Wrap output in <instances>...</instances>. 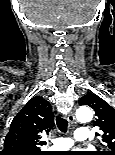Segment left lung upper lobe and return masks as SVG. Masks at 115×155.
I'll list each match as a JSON object with an SVG mask.
<instances>
[{
	"label": "left lung upper lobe",
	"instance_id": "left-lung-upper-lobe-1",
	"mask_svg": "<svg viewBox=\"0 0 115 155\" xmlns=\"http://www.w3.org/2000/svg\"><path fill=\"white\" fill-rule=\"evenodd\" d=\"M80 105H88L95 111L94 125L102 131L103 146L106 151L94 155H115V109L96 94L88 93L79 100Z\"/></svg>",
	"mask_w": 115,
	"mask_h": 155
}]
</instances>
